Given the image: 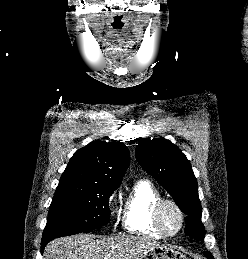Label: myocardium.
<instances>
[{
  "mask_svg": "<svg viewBox=\"0 0 248 259\" xmlns=\"http://www.w3.org/2000/svg\"><path fill=\"white\" fill-rule=\"evenodd\" d=\"M170 205L178 212L180 217V226L178 230L174 233H169L162 222V211L165 206ZM152 219L154 222L155 227L158 229V231L165 237H175L177 236L184 228L185 225V214L181 208V206L174 200L168 199V198H161L158 200L153 208L152 212Z\"/></svg>",
  "mask_w": 248,
  "mask_h": 259,
  "instance_id": "obj_1",
  "label": "myocardium"
}]
</instances>
